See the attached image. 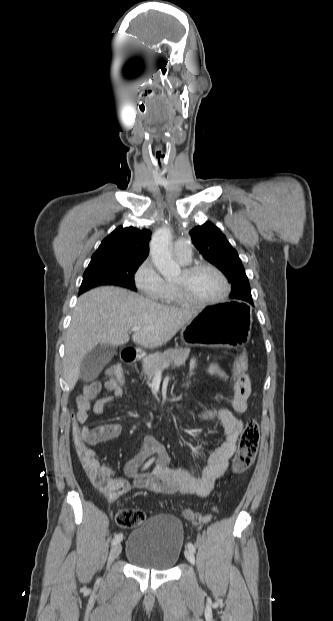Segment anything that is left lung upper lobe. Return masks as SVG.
I'll use <instances>...</instances> for the list:
<instances>
[{"instance_id":"obj_1","label":"left lung upper lobe","mask_w":333,"mask_h":621,"mask_svg":"<svg viewBox=\"0 0 333 621\" xmlns=\"http://www.w3.org/2000/svg\"><path fill=\"white\" fill-rule=\"evenodd\" d=\"M189 234L204 258L229 276L232 283L230 298L253 305L250 285L242 262L220 229L211 222H206L190 230Z\"/></svg>"}]
</instances>
